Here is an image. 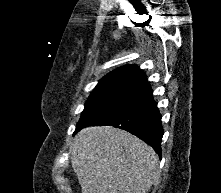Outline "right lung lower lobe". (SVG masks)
I'll list each match as a JSON object with an SVG mask.
<instances>
[{"label":"right lung lower lobe","mask_w":221,"mask_h":193,"mask_svg":"<svg viewBox=\"0 0 221 193\" xmlns=\"http://www.w3.org/2000/svg\"><path fill=\"white\" fill-rule=\"evenodd\" d=\"M104 125L114 126L132 133L149 144L161 157V142L164 131L157 102L153 99L150 86L121 108L78 127L76 132L86 126Z\"/></svg>","instance_id":"right-lung-lower-lobe-1"}]
</instances>
